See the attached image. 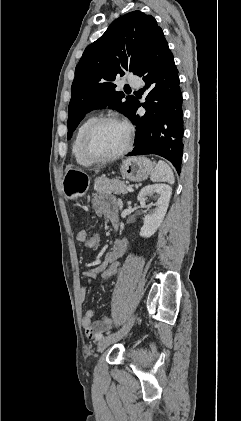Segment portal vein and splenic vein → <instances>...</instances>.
Listing matches in <instances>:
<instances>
[{
  "instance_id": "obj_1",
  "label": "portal vein and splenic vein",
  "mask_w": 241,
  "mask_h": 421,
  "mask_svg": "<svg viewBox=\"0 0 241 421\" xmlns=\"http://www.w3.org/2000/svg\"><path fill=\"white\" fill-rule=\"evenodd\" d=\"M126 189H127L128 191H130V192H133V191H134L132 187H127Z\"/></svg>"
}]
</instances>
